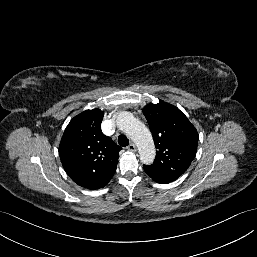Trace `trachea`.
I'll return each mask as SVG.
<instances>
[{
    "label": "trachea",
    "instance_id": "trachea-1",
    "mask_svg": "<svg viewBox=\"0 0 257 257\" xmlns=\"http://www.w3.org/2000/svg\"><path fill=\"white\" fill-rule=\"evenodd\" d=\"M118 143L120 146L126 147L129 144V139L125 135L121 134L118 137Z\"/></svg>",
    "mask_w": 257,
    "mask_h": 257
}]
</instances>
